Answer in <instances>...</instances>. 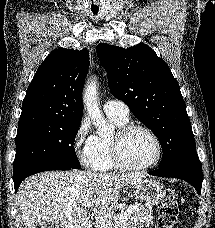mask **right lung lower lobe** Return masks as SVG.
<instances>
[{
  "instance_id": "right-lung-lower-lobe-1",
  "label": "right lung lower lobe",
  "mask_w": 215,
  "mask_h": 228,
  "mask_svg": "<svg viewBox=\"0 0 215 228\" xmlns=\"http://www.w3.org/2000/svg\"><path fill=\"white\" fill-rule=\"evenodd\" d=\"M75 168L66 167V166H59V165H34V166H28L22 169H19L17 171L13 172V179H14V188L15 193L17 192V189L21 182L29 177L30 175H33L35 173L43 172V171H50V170H72Z\"/></svg>"
}]
</instances>
